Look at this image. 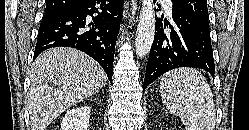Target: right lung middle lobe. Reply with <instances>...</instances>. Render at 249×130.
I'll return each instance as SVG.
<instances>
[{
    "instance_id": "right-lung-middle-lobe-1",
    "label": "right lung middle lobe",
    "mask_w": 249,
    "mask_h": 130,
    "mask_svg": "<svg viewBox=\"0 0 249 130\" xmlns=\"http://www.w3.org/2000/svg\"><path fill=\"white\" fill-rule=\"evenodd\" d=\"M53 16H56V15H52V14H47V13H45V18H47V17H53Z\"/></svg>"
}]
</instances>
